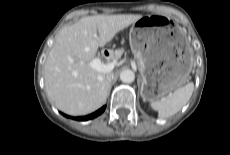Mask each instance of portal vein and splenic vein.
<instances>
[{"instance_id": "18ae733b", "label": "portal vein and splenic vein", "mask_w": 230, "mask_h": 155, "mask_svg": "<svg viewBox=\"0 0 230 155\" xmlns=\"http://www.w3.org/2000/svg\"><path fill=\"white\" fill-rule=\"evenodd\" d=\"M116 63V60L103 63L100 58H95L90 62V66L98 72L107 73L114 69Z\"/></svg>"}]
</instances>
